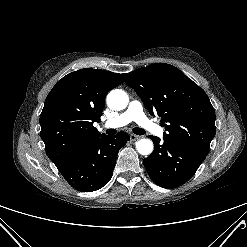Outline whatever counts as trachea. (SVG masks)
Wrapping results in <instances>:
<instances>
[{
	"mask_svg": "<svg viewBox=\"0 0 247 247\" xmlns=\"http://www.w3.org/2000/svg\"><path fill=\"white\" fill-rule=\"evenodd\" d=\"M112 131L115 132V130L112 129ZM133 133L136 134V135H144L145 134V130L142 129V128H138V127H135L133 128Z\"/></svg>",
	"mask_w": 247,
	"mask_h": 247,
	"instance_id": "trachea-1",
	"label": "trachea"
}]
</instances>
